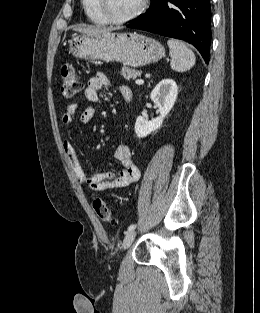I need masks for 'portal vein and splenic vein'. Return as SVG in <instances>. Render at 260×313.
Here are the masks:
<instances>
[{"mask_svg": "<svg viewBox=\"0 0 260 313\" xmlns=\"http://www.w3.org/2000/svg\"><path fill=\"white\" fill-rule=\"evenodd\" d=\"M135 82H136V84H138V85H142V84L144 83V80H142V79H137Z\"/></svg>", "mask_w": 260, "mask_h": 313, "instance_id": "1", "label": "portal vein and splenic vein"}]
</instances>
